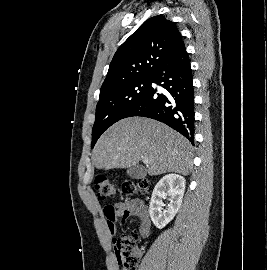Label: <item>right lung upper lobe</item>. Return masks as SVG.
<instances>
[{
	"label": "right lung upper lobe",
	"instance_id": "cb5924a9",
	"mask_svg": "<svg viewBox=\"0 0 267 270\" xmlns=\"http://www.w3.org/2000/svg\"><path fill=\"white\" fill-rule=\"evenodd\" d=\"M182 44L175 23L162 15L149 18L118 48L100 91L126 81L151 77Z\"/></svg>",
	"mask_w": 267,
	"mask_h": 270
}]
</instances>
